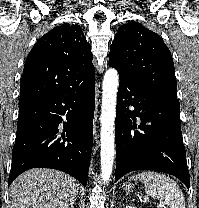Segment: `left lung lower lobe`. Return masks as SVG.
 I'll use <instances>...</instances> for the list:
<instances>
[{
    "label": "left lung lower lobe",
    "instance_id": "1",
    "mask_svg": "<svg viewBox=\"0 0 199 208\" xmlns=\"http://www.w3.org/2000/svg\"><path fill=\"white\" fill-rule=\"evenodd\" d=\"M129 106L134 110H129ZM179 112L177 99L120 76L115 119V182L133 170H154L176 176L189 189ZM136 117L140 118V125L136 124Z\"/></svg>",
    "mask_w": 199,
    "mask_h": 208
}]
</instances>
